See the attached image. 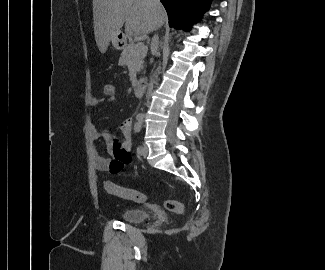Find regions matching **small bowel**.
Masks as SVG:
<instances>
[{
    "label": "small bowel",
    "instance_id": "1",
    "mask_svg": "<svg viewBox=\"0 0 325 270\" xmlns=\"http://www.w3.org/2000/svg\"><path fill=\"white\" fill-rule=\"evenodd\" d=\"M117 96H104L99 98L91 96L88 99L90 106H97L103 101L114 102ZM132 119L123 121L120 125L116 126L112 131H99L95 124L90 126V137L93 141L103 139L106 143L108 152L111 158H105L100 155L99 151L94 147L92 150L93 160L95 166L100 171H110L112 173L121 172L126 165L131 162V147H132ZM113 132L120 134L121 138L116 139Z\"/></svg>",
    "mask_w": 325,
    "mask_h": 270
}]
</instances>
